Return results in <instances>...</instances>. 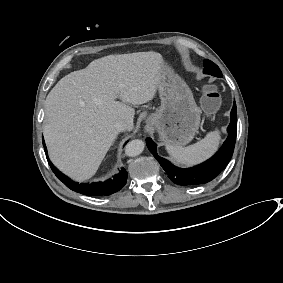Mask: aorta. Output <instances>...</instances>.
<instances>
[{"label": "aorta", "mask_w": 283, "mask_h": 283, "mask_svg": "<svg viewBox=\"0 0 283 283\" xmlns=\"http://www.w3.org/2000/svg\"><path fill=\"white\" fill-rule=\"evenodd\" d=\"M145 147V143L142 140L135 139L130 141L125 147V154L129 157H135L140 155Z\"/></svg>", "instance_id": "762f6f07"}]
</instances>
